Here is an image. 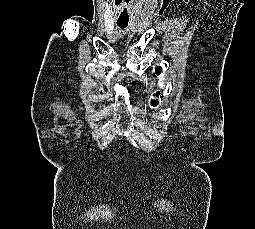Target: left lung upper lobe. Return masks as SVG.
<instances>
[{"label":"left lung upper lobe","mask_w":255,"mask_h":229,"mask_svg":"<svg viewBox=\"0 0 255 229\" xmlns=\"http://www.w3.org/2000/svg\"><path fill=\"white\" fill-rule=\"evenodd\" d=\"M161 71H162L161 67H156L155 73H156L157 75H159ZM158 94H159V92L156 93V95H158ZM157 103H158V101H152V105H153V106H155Z\"/></svg>","instance_id":"obj_1"}]
</instances>
